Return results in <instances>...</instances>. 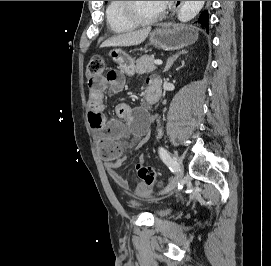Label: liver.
Instances as JSON below:
<instances>
[{
	"label": "liver",
	"mask_w": 271,
	"mask_h": 266,
	"mask_svg": "<svg viewBox=\"0 0 271 266\" xmlns=\"http://www.w3.org/2000/svg\"><path fill=\"white\" fill-rule=\"evenodd\" d=\"M150 32L151 28L147 27L140 30L119 34L105 40L101 44V47H125L139 45L146 40Z\"/></svg>",
	"instance_id": "liver-1"
}]
</instances>
